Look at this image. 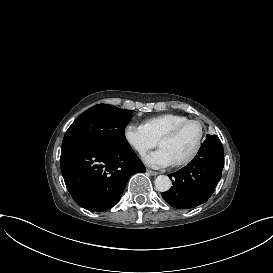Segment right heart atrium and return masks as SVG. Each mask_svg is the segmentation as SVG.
I'll use <instances>...</instances> for the list:
<instances>
[{"mask_svg":"<svg viewBox=\"0 0 273 273\" xmlns=\"http://www.w3.org/2000/svg\"><path fill=\"white\" fill-rule=\"evenodd\" d=\"M125 138L141 156L154 148L158 143L144 124H128L125 129Z\"/></svg>","mask_w":273,"mask_h":273,"instance_id":"obj_1","label":"right heart atrium"}]
</instances>
